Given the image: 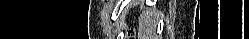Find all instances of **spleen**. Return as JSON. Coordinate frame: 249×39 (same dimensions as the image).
<instances>
[{
    "label": "spleen",
    "mask_w": 249,
    "mask_h": 39,
    "mask_svg": "<svg viewBox=\"0 0 249 39\" xmlns=\"http://www.w3.org/2000/svg\"><path fill=\"white\" fill-rule=\"evenodd\" d=\"M159 21V12L156 10H149L142 13L139 23V34L142 39H148L156 29Z\"/></svg>",
    "instance_id": "obj_1"
}]
</instances>
